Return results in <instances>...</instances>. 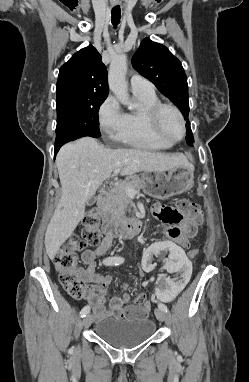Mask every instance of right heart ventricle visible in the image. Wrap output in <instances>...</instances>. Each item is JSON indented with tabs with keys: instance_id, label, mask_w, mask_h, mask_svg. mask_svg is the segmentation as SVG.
I'll return each instance as SVG.
<instances>
[{
	"instance_id": "e07e8e85",
	"label": "right heart ventricle",
	"mask_w": 249,
	"mask_h": 382,
	"mask_svg": "<svg viewBox=\"0 0 249 382\" xmlns=\"http://www.w3.org/2000/svg\"><path fill=\"white\" fill-rule=\"evenodd\" d=\"M140 103L138 110L126 113V125L117 138L128 146L145 150H165L173 143L158 137L152 130L146 111L159 102L155 93H133Z\"/></svg>"
}]
</instances>
